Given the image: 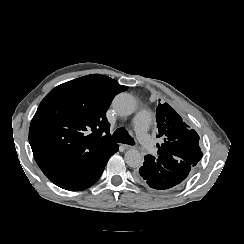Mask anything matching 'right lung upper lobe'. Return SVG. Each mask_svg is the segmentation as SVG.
Here are the masks:
<instances>
[{"label": "right lung upper lobe", "mask_w": 244, "mask_h": 244, "mask_svg": "<svg viewBox=\"0 0 244 244\" xmlns=\"http://www.w3.org/2000/svg\"><path fill=\"white\" fill-rule=\"evenodd\" d=\"M127 89L110 77L91 74L47 94L29 130L34 158L44 174L116 144L105 113L113 97Z\"/></svg>", "instance_id": "obj_1"}]
</instances>
